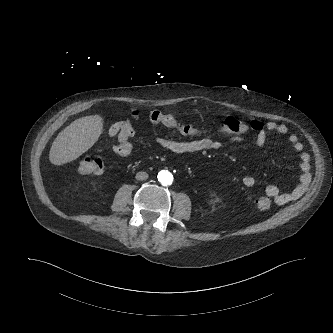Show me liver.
Segmentation results:
<instances>
[{
  "instance_id": "1",
  "label": "liver",
  "mask_w": 333,
  "mask_h": 333,
  "mask_svg": "<svg viewBox=\"0 0 333 333\" xmlns=\"http://www.w3.org/2000/svg\"><path fill=\"white\" fill-rule=\"evenodd\" d=\"M103 122V118L98 114L73 121L52 143L50 162L62 165L79 158L97 142L103 132Z\"/></svg>"
}]
</instances>
